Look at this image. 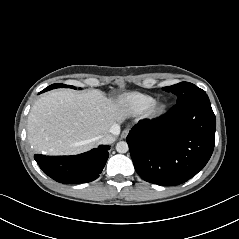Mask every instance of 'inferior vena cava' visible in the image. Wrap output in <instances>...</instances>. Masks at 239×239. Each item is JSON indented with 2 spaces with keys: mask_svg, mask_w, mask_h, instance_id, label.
I'll return each instance as SVG.
<instances>
[{
  "mask_svg": "<svg viewBox=\"0 0 239 239\" xmlns=\"http://www.w3.org/2000/svg\"><path fill=\"white\" fill-rule=\"evenodd\" d=\"M120 133V127L116 125L111 133L103 134L99 137V143L101 144H111L115 141V135Z\"/></svg>",
  "mask_w": 239,
  "mask_h": 239,
  "instance_id": "602c4592",
  "label": "inferior vena cava"
}]
</instances>
